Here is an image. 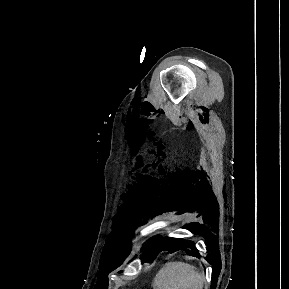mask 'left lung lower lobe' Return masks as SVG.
Instances as JSON below:
<instances>
[{
    "label": "left lung lower lobe",
    "mask_w": 289,
    "mask_h": 289,
    "mask_svg": "<svg viewBox=\"0 0 289 289\" xmlns=\"http://www.w3.org/2000/svg\"><path fill=\"white\" fill-rule=\"evenodd\" d=\"M162 243H164L165 249H170L173 251H177L183 247H190L193 248L194 245L190 241H184V240H179V239H173V238H164L162 239Z\"/></svg>",
    "instance_id": "obj_1"
}]
</instances>
